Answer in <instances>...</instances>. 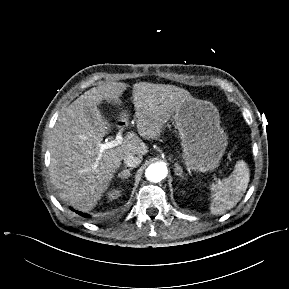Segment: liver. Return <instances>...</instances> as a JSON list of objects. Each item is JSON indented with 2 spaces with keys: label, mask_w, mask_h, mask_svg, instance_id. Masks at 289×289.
<instances>
[{
  "label": "liver",
  "mask_w": 289,
  "mask_h": 289,
  "mask_svg": "<svg viewBox=\"0 0 289 289\" xmlns=\"http://www.w3.org/2000/svg\"><path fill=\"white\" fill-rule=\"evenodd\" d=\"M127 84L107 82L79 96L61 114L50 139V178L61 200L90 211L108 189L128 152L145 155L147 145L129 132L123 143L100 152L110 124L97 105L103 100L120 104ZM134 119L140 136L155 139L190 93L174 85L140 82L133 85ZM94 120L91 119V114Z\"/></svg>",
  "instance_id": "1"
}]
</instances>
